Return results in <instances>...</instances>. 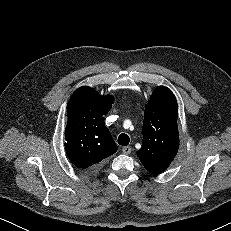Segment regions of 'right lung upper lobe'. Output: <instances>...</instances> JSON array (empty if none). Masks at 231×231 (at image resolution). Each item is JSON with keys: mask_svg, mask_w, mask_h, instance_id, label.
<instances>
[{"mask_svg": "<svg viewBox=\"0 0 231 231\" xmlns=\"http://www.w3.org/2000/svg\"><path fill=\"white\" fill-rule=\"evenodd\" d=\"M113 102L112 96H101L88 86L78 88L68 101L65 150L69 160L84 171L99 167L118 149L103 117Z\"/></svg>", "mask_w": 231, "mask_h": 231, "instance_id": "obj_1", "label": "right lung upper lobe"}]
</instances>
